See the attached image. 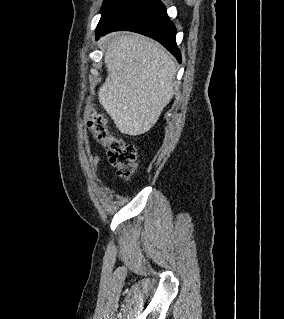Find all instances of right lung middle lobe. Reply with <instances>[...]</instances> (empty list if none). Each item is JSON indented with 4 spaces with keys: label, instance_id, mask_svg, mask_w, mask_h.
<instances>
[{
    "label": "right lung middle lobe",
    "instance_id": "right-lung-middle-lobe-1",
    "mask_svg": "<svg viewBox=\"0 0 284 319\" xmlns=\"http://www.w3.org/2000/svg\"><path fill=\"white\" fill-rule=\"evenodd\" d=\"M137 1L138 0H105L102 7V16L96 31L105 28Z\"/></svg>",
    "mask_w": 284,
    "mask_h": 319
}]
</instances>
